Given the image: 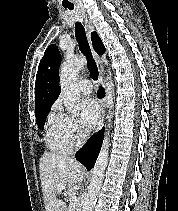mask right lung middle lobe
I'll use <instances>...</instances> for the list:
<instances>
[{"label":"right lung middle lobe","instance_id":"obj_1","mask_svg":"<svg viewBox=\"0 0 178 211\" xmlns=\"http://www.w3.org/2000/svg\"><path fill=\"white\" fill-rule=\"evenodd\" d=\"M49 111H50V108H46V109L40 111L39 113L35 114V116L37 117V125L40 129L43 128L45 119H46Z\"/></svg>","mask_w":178,"mask_h":211}]
</instances>
